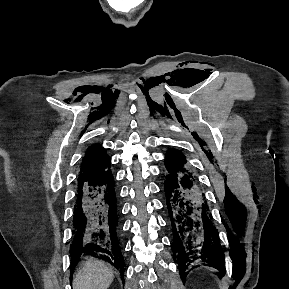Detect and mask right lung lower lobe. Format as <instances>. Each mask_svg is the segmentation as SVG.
Returning <instances> with one entry per match:
<instances>
[{
    "label": "right lung lower lobe",
    "instance_id": "98d812e1",
    "mask_svg": "<svg viewBox=\"0 0 289 289\" xmlns=\"http://www.w3.org/2000/svg\"><path fill=\"white\" fill-rule=\"evenodd\" d=\"M120 227L110 168L100 175L78 182L73 214L71 273L83 254L101 258L120 271L124 280V258L120 247Z\"/></svg>",
    "mask_w": 289,
    "mask_h": 289
}]
</instances>
